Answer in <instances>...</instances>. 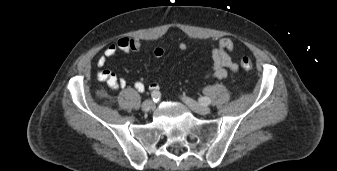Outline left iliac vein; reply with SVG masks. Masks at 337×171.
<instances>
[{
    "mask_svg": "<svg viewBox=\"0 0 337 171\" xmlns=\"http://www.w3.org/2000/svg\"><path fill=\"white\" fill-rule=\"evenodd\" d=\"M183 101L185 104L194 112L201 114V115H207L211 112L210 108L204 105H201L197 103L196 101L192 100L188 97H183Z\"/></svg>",
    "mask_w": 337,
    "mask_h": 171,
    "instance_id": "left-iliac-vein-1",
    "label": "left iliac vein"
}]
</instances>
